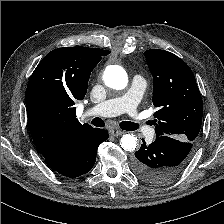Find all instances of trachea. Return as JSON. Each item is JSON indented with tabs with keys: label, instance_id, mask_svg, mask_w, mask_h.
<instances>
[{
	"label": "trachea",
	"instance_id": "obj_1",
	"mask_svg": "<svg viewBox=\"0 0 224 224\" xmlns=\"http://www.w3.org/2000/svg\"><path fill=\"white\" fill-rule=\"evenodd\" d=\"M91 123L96 127H104L105 123L101 118H94ZM120 128L127 131H134L137 129L136 125L129 121H123L120 123Z\"/></svg>",
	"mask_w": 224,
	"mask_h": 224
}]
</instances>
